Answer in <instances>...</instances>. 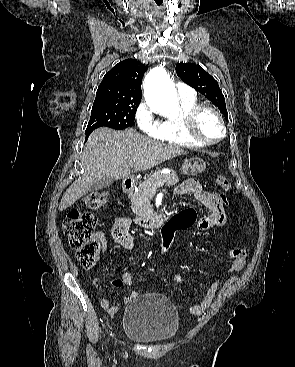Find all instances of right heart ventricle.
Returning a JSON list of instances; mask_svg holds the SVG:
<instances>
[{"label":"right heart ventricle","instance_id":"right-heart-ventricle-1","mask_svg":"<svg viewBox=\"0 0 295 367\" xmlns=\"http://www.w3.org/2000/svg\"><path fill=\"white\" fill-rule=\"evenodd\" d=\"M195 105H197L196 99L191 100L181 99L180 100L181 114L177 118L167 119L163 122L164 131L159 140L182 147H188V148L201 147L202 146L201 144L193 141L188 136L182 121L184 114Z\"/></svg>","mask_w":295,"mask_h":367}]
</instances>
